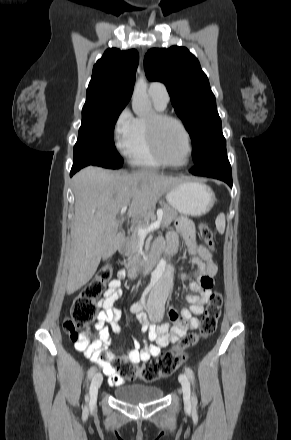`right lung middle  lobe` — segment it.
Here are the masks:
<instances>
[{"instance_id":"dd1d6c3e","label":"right lung middle lobe","mask_w":291,"mask_h":440,"mask_svg":"<svg viewBox=\"0 0 291 440\" xmlns=\"http://www.w3.org/2000/svg\"><path fill=\"white\" fill-rule=\"evenodd\" d=\"M125 106L109 102L84 105L73 164L85 163L112 169L121 167L123 159L116 151L113 134L117 118Z\"/></svg>"}]
</instances>
